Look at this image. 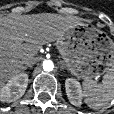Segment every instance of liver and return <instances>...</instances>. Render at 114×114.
I'll use <instances>...</instances> for the list:
<instances>
[{"instance_id":"1","label":"liver","mask_w":114,"mask_h":114,"mask_svg":"<svg viewBox=\"0 0 114 114\" xmlns=\"http://www.w3.org/2000/svg\"><path fill=\"white\" fill-rule=\"evenodd\" d=\"M75 16L42 13L0 18V93L5 83L23 71L27 60L36 61L41 45L59 41L65 32L81 25Z\"/></svg>"}]
</instances>
